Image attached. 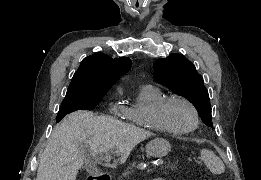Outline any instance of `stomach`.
I'll return each instance as SVG.
<instances>
[{"label": "stomach", "instance_id": "0dacf381", "mask_svg": "<svg viewBox=\"0 0 261 180\" xmlns=\"http://www.w3.org/2000/svg\"><path fill=\"white\" fill-rule=\"evenodd\" d=\"M146 154L150 157H164L171 151V144L163 138H155L147 143Z\"/></svg>", "mask_w": 261, "mask_h": 180}]
</instances>
